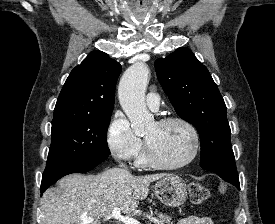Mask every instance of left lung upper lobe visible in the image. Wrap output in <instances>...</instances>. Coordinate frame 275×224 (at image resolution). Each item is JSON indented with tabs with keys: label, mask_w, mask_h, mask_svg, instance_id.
<instances>
[{
	"label": "left lung upper lobe",
	"mask_w": 275,
	"mask_h": 224,
	"mask_svg": "<svg viewBox=\"0 0 275 224\" xmlns=\"http://www.w3.org/2000/svg\"><path fill=\"white\" fill-rule=\"evenodd\" d=\"M155 69L177 114L200 135L201 167L224 180L238 179L226 105L207 68L181 47L157 59Z\"/></svg>",
	"instance_id": "left-lung-upper-lobe-1"
}]
</instances>
